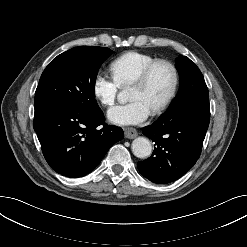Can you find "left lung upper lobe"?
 <instances>
[{"mask_svg": "<svg viewBox=\"0 0 247 247\" xmlns=\"http://www.w3.org/2000/svg\"><path fill=\"white\" fill-rule=\"evenodd\" d=\"M180 76V88L167 111L179 112L199 99H209V93L199 68L186 56L175 60Z\"/></svg>", "mask_w": 247, "mask_h": 247, "instance_id": "1", "label": "left lung upper lobe"}]
</instances>
